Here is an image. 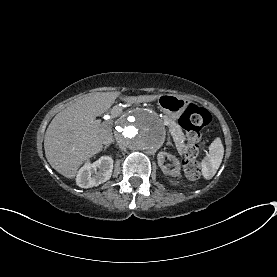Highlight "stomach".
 Here are the masks:
<instances>
[{"label":"stomach","mask_w":277,"mask_h":277,"mask_svg":"<svg viewBox=\"0 0 277 277\" xmlns=\"http://www.w3.org/2000/svg\"><path fill=\"white\" fill-rule=\"evenodd\" d=\"M160 109L170 118H178L183 114L189 102L175 95L164 94L158 98Z\"/></svg>","instance_id":"obj_1"}]
</instances>
